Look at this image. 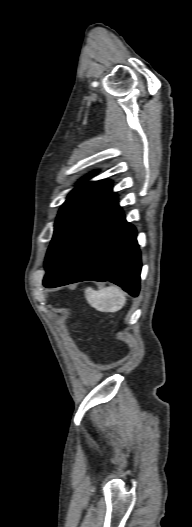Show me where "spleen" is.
I'll list each match as a JSON object with an SVG mask.
<instances>
[{
  "label": "spleen",
  "mask_w": 192,
  "mask_h": 527,
  "mask_svg": "<svg viewBox=\"0 0 192 527\" xmlns=\"http://www.w3.org/2000/svg\"><path fill=\"white\" fill-rule=\"evenodd\" d=\"M87 302L101 312H116L126 301L123 291L118 287H106L98 291L88 287L85 289Z\"/></svg>",
  "instance_id": "3e777b00"
}]
</instances>
